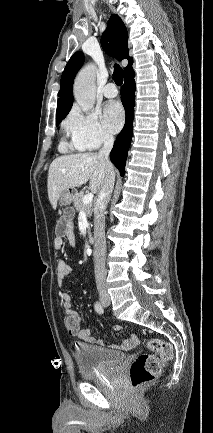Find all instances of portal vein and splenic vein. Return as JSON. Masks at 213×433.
I'll return each mask as SVG.
<instances>
[{"label": "portal vein and splenic vein", "instance_id": "1", "mask_svg": "<svg viewBox=\"0 0 213 433\" xmlns=\"http://www.w3.org/2000/svg\"><path fill=\"white\" fill-rule=\"evenodd\" d=\"M93 193H88L83 197L84 204H90L93 201Z\"/></svg>", "mask_w": 213, "mask_h": 433}]
</instances>
